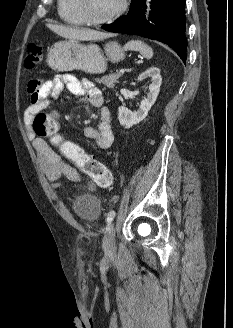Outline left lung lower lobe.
<instances>
[{
    "label": "left lung lower lobe",
    "instance_id": "left-lung-lower-lobe-1",
    "mask_svg": "<svg viewBox=\"0 0 233 328\" xmlns=\"http://www.w3.org/2000/svg\"><path fill=\"white\" fill-rule=\"evenodd\" d=\"M185 0H132L126 16L102 28L161 41L186 60Z\"/></svg>",
    "mask_w": 233,
    "mask_h": 328
}]
</instances>
